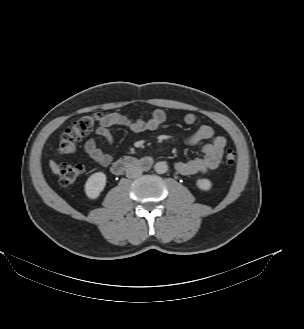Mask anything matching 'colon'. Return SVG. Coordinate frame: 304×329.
I'll use <instances>...</instances> for the list:
<instances>
[{
    "instance_id": "5ec220e1",
    "label": "colon",
    "mask_w": 304,
    "mask_h": 329,
    "mask_svg": "<svg viewBox=\"0 0 304 329\" xmlns=\"http://www.w3.org/2000/svg\"><path fill=\"white\" fill-rule=\"evenodd\" d=\"M101 113L82 116L78 118L70 127L61 135L58 150L62 154H74L78 150V141L87 135L96 123L102 119ZM226 163L232 165L236 161V152L229 148L225 154ZM59 182L63 186H68L79 179L84 167L81 164H64L56 166Z\"/></svg>"
}]
</instances>
